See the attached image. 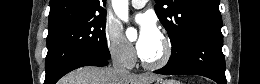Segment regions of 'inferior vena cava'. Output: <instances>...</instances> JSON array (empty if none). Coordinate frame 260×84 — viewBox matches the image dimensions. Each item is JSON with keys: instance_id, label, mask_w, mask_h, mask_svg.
<instances>
[{"instance_id": "602c4592", "label": "inferior vena cava", "mask_w": 260, "mask_h": 84, "mask_svg": "<svg viewBox=\"0 0 260 84\" xmlns=\"http://www.w3.org/2000/svg\"><path fill=\"white\" fill-rule=\"evenodd\" d=\"M113 69L115 72L121 75H127L129 74V71L123 67H121L118 63L113 62Z\"/></svg>"}]
</instances>
